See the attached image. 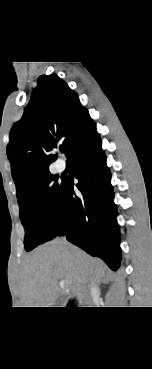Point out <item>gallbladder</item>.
<instances>
[{
	"label": "gallbladder",
	"mask_w": 152,
	"mask_h": 369,
	"mask_svg": "<svg viewBox=\"0 0 152 369\" xmlns=\"http://www.w3.org/2000/svg\"><path fill=\"white\" fill-rule=\"evenodd\" d=\"M63 300H64V297H59V298H58V303L63 302ZM57 306H59V304H57Z\"/></svg>",
	"instance_id": "bac80fb5"
}]
</instances>
